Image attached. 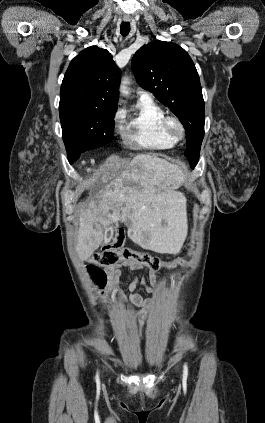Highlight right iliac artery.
<instances>
[{"label": "right iliac artery", "instance_id": "1", "mask_svg": "<svg viewBox=\"0 0 265 423\" xmlns=\"http://www.w3.org/2000/svg\"><path fill=\"white\" fill-rule=\"evenodd\" d=\"M99 381V377H98V373H97V375H96V382H98Z\"/></svg>", "mask_w": 265, "mask_h": 423}]
</instances>
